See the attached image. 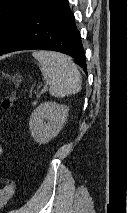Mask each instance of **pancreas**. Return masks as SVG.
I'll return each mask as SVG.
<instances>
[{"label":"pancreas","mask_w":128,"mask_h":213,"mask_svg":"<svg viewBox=\"0 0 128 213\" xmlns=\"http://www.w3.org/2000/svg\"><path fill=\"white\" fill-rule=\"evenodd\" d=\"M36 103H37V101H34V102H33V105H35Z\"/></svg>","instance_id":"pancreas-1"}]
</instances>
